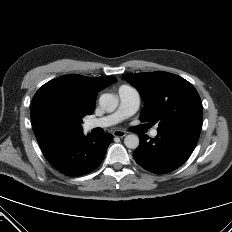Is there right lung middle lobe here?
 Here are the masks:
<instances>
[{"mask_svg":"<svg viewBox=\"0 0 232 232\" xmlns=\"http://www.w3.org/2000/svg\"><path fill=\"white\" fill-rule=\"evenodd\" d=\"M71 117L72 114L62 103L49 104L44 113L45 122L51 128L63 126Z\"/></svg>","mask_w":232,"mask_h":232,"instance_id":"dd1d6c3e","label":"right lung middle lobe"}]
</instances>
